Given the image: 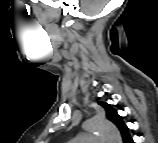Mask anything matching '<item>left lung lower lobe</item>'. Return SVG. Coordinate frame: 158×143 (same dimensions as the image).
Here are the masks:
<instances>
[{
    "mask_svg": "<svg viewBox=\"0 0 158 143\" xmlns=\"http://www.w3.org/2000/svg\"><path fill=\"white\" fill-rule=\"evenodd\" d=\"M124 143H133L132 138L130 137V135H127L123 138Z\"/></svg>",
    "mask_w": 158,
    "mask_h": 143,
    "instance_id": "1",
    "label": "left lung lower lobe"
}]
</instances>
